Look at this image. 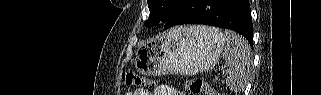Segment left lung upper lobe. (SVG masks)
<instances>
[{"instance_id":"5c2ea615","label":"left lung upper lobe","mask_w":321,"mask_h":95,"mask_svg":"<svg viewBox=\"0 0 321 95\" xmlns=\"http://www.w3.org/2000/svg\"><path fill=\"white\" fill-rule=\"evenodd\" d=\"M181 0H147L150 15L144 23L147 27L156 26L160 21L166 22Z\"/></svg>"}]
</instances>
